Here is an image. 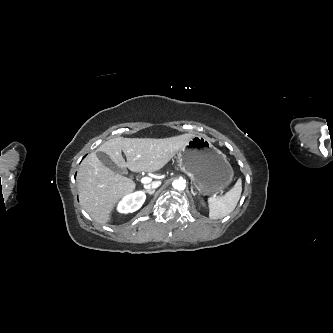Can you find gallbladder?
I'll return each instance as SVG.
<instances>
[{"label":"gallbladder","mask_w":333,"mask_h":333,"mask_svg":"<svg viewBox=\"0 0 333 333\" xmlns=\"http://www.w3.org/2000/svg\"><path fill=\"white\" fill-rule=\"evenodd\" d=\"M97 158L107 167H109L110 169H112L114 172L124 175L127 174L126 169L124 168H120L118 166H116L112 160L110 159V157L104 153V152H97Z\"/></svg>","instance_id":"obj_1"}]
</instances>
